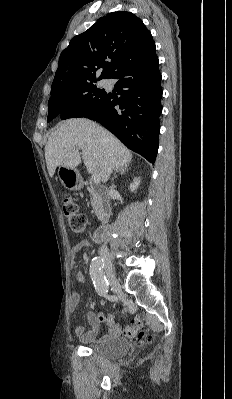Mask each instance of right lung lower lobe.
<instances>
[{
	"label": "right lung lower lobe",
	"instance_id": "right-lung-lower-lobe-1",
	"mask_svg": "<svg viewBox=\"0 0 232 399\" xmlns=\"http://www.w3.org/2000/svg\"><path fill=\"white\" fill-rule=\"evenodd\" d=\"M110 79L117 80L115 88L120 97L108 93L98 106L72 117L101 123L129 149L154 164L162 111L161 74L156 53L123 67ZM115 106H119V110ZM60 117L67 119L63 113Z\"/></svg>",
	"mask_w": 232,
	"mask_h": 399
}]
</instances>
